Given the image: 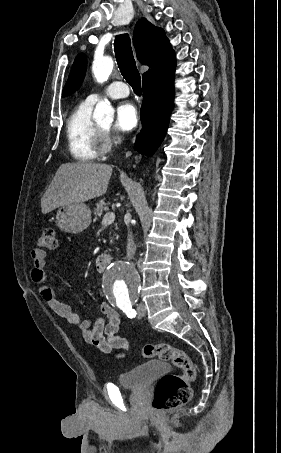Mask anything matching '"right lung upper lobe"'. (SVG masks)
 <instances>
[{"mask_svg": "<svg viewBox=\"0 0 281 453\" xmlns=\"http://www.w3.org/2000/svg\"><path fill=\"white\" fill-rule=\"evenodd\" d=\"M133 44L137 58L150 66L151 70L174 54L163 29L155 27L145 18L140 19L135 26Z\"/></svg>", "mask_w": 281, "mask_h": 453, "instance_id": "cb5924a9", "label": "right lung upper lobe"}]
</instances>
